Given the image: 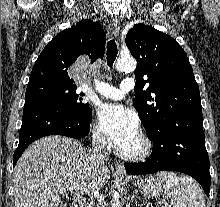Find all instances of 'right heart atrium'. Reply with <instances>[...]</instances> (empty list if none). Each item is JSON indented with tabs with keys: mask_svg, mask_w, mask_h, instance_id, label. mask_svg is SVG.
<instances>
[{
	"mask_svg": "<svg viewBox=\"0 0 220 207\" xmlns=\"http://www.w3.org/2000/svg\"><path fill=\"white\" fill-rule=\"evenodd\" d=\"M91 135L93 141L97 145L102 147L108 146L109 142L107 137L104 135V133L100 130V128L96 124H94L91 128Z\"/></svg>",
	"mask_w": 220,
	"mask_h": 207,
	"instance_id": "1",
	"label": "right heart atrium"
}]
</instances>
